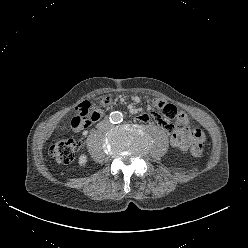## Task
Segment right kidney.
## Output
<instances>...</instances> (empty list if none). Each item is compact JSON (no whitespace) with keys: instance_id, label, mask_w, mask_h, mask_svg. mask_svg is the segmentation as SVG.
I'll return each instance as SVG.
<instances>
[{"instance_id":"1","label":"right kidney","mask_w":248,"mask_h":248,"mask_svg":"<svg viewBox=\"0 0 248 248\" xmlns=\"http://www.w3.org/2000/svg\"><path fill=\"white\" fill-rule=\"evenodd\" d=\"M78 163L80 166H85L87 163V155L86 154H81L78 158Z\"/></svg>"}]
</instances>
